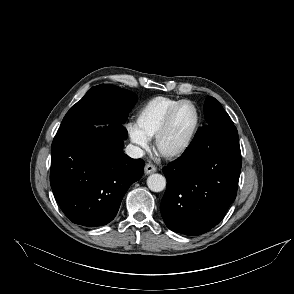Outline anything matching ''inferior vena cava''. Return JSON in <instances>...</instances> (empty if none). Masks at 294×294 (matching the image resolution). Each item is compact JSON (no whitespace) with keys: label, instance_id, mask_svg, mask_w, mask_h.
<instances>
[{"label":"inferior vena cava","instance_id":"602c4592","mask_svg":"<svg viewBox=\"0 0 294 294\" xmlns=\"http://www.w3.org/2000/svg\"><path fill=\"white\" fill-rule=\"evenodd\" d=\"M125 153L129 157L134 158V159L141 158L144 155V151L140 147L132 145V144H129L126 147Z\"/></svg>","mask_w":294,"mask_h":294}]
</instances>
